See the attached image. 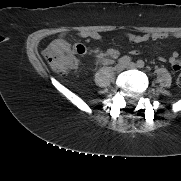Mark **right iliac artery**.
<instances>
[{
    "instance_id": "obj_1",
    "label": "right iliac artery",
    "mask_w": 181,
    "mask_h": 181,
    "mask_svg": "<svg viewBox=\"0 0 181 181\" xmlns=\"http://www.w3.org/2000/svg\"><path fill=\"white\" fill-rule=\"evenodd\" d=\"M131 61V57L129 56H123L119 59V63L121 64H128Z\"/></svg>"
}]
</instances>
